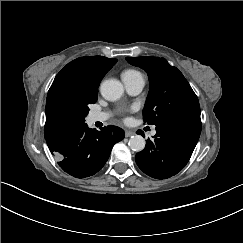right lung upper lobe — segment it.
I'll return each instance as SVG.
<instances>
[{"label":"right lung upper lobe","mask_w":243,"mask_h":243,"mask_svg":"<svg viewBox=\"0 0 243 243\" xmlns=\"http://www.w3.org/2000/svg\"><path fill=\"white\" fill-rule=\"evenodd\" d=\"M116 62L117 59L103 56L80 57L57 74L47 95L45 138L63 127L55 113L58 102L70 94L98 92L102 78Z\"/></svg>","instance_id":"obj_1"}]
</instances>
